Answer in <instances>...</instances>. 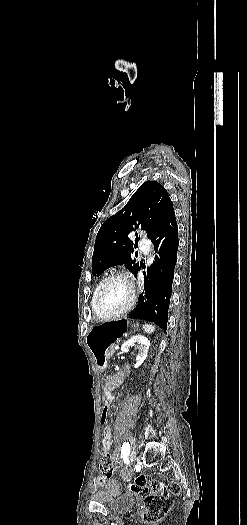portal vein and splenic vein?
<instances>
[{
	"instance_id": "portal-vein-and-splenic-vein-1",
	"label": "portal vein and splenic vein",
	"mask_w": 247,
	"mask_h": 525,
	"mask_svg": "<svg viewBox=\"0 0 247 525\" xmlns=\"http://www.w3.org/2000/svg\"><path fill=\"white\" fill-rule=\"evenodd\" d=\"M113 350H119V345H115V347H113Z\"/></svg>"
}]
</instances>
